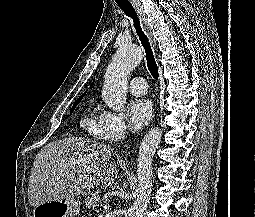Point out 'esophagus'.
<instances>
[{"instance_id": "esophagus-1", "label": "esophagus", "mask_w": 255, "mask_h": 217, "mask_svg": "<svg viewBox=\"0 0 255 217\" xmlns=\"http://www.w3.org/2000/svg\"><path fill=\"white\" fill-rule=\"evenodd\" d=\"M132 6L134 7L135 11L139 14V16L141 18V21H142L143 28H144L147 36L149 37L153 48L156 50L157 49L156 40L153 37L152 29H151V27H150V25L147 21V18L145 16V13L142 10V7H141L140 3L139 2H133Z\"/></svg>"}]
</instances>
